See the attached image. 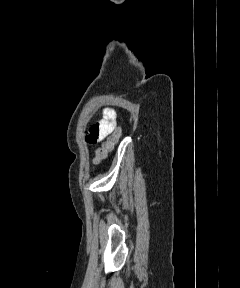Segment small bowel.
Masks as SVG:
<instances>
[{
  "label": "small bowel",
  "instance_id": "small-bowel-1",
  "mask_svg": "<svg viewBox=\"0 0 240 288\" xmlns=\"http://www.w3.org/2000/svg\"><path fill=\"white\" fill-rule=\"evenodd\" d=\"M116 129L115 111L106 108L102 111V118L89 128L86 135V141L89 144H95L102 141L105 137L113 133Z\"/></svg>",
  "mask_w": 240,
  "mask_h": 288
}]
</instances>
